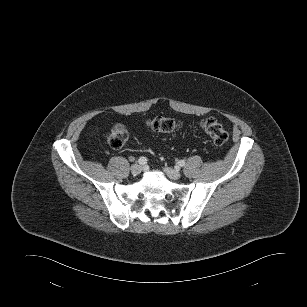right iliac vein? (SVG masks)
<instances>
[{"label": "right iliac vein", "instance_id": "63e3f726", "mask_svg": "<svg viewBox=\"0 0 307 307\" xmlns=\"http://www.w3.org/2000/svg\"><path fill=\"white\" fill-rule=\"evenodd\" d=\"M130 170L133 176H137L140 174L142 167L139 164H133Z\"/></svg>", "mask_w": 307, "mask_h": 307}]
</instances>
